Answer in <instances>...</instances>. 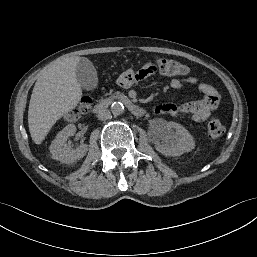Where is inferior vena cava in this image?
Returning a JSON list of instances; mask_svg holds the SVG:
<instances>
[{"label":"inferior vena cava","instance_id":"inferior-vena-cava-1","mask_svg":"<svg viewBox=\"0 0 257 257\" xmlns=\"http://www.w3.org/2000/svg\"><path fill=\"white\" fill-rule=\"evenodd\" d=\"M97 117L101 121H105L111 118V112L109 109L100 108L97 112Z\"/></svg>","mask_w":257,"mask_h":257}]
</instances>
